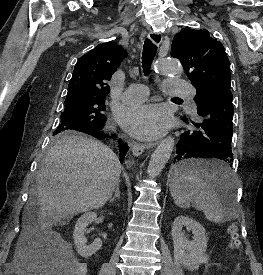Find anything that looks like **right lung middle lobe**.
<instances>
[{"label": "right lung middle lobe", "instance_id": "right-lung-middle-lobe-1", "mask_svg": "<svg viewBox=\"0 0 263 275\" xmlns=\"http://www.w3.org/2000/svg\"><path fill=\"white\" fill-rule=\"evenodd\" d=\"M104 110V96L77 95L66 98L60 124L53 133V141L60 140L65 132L101 130L105 123Z\"/></svg>", "mask_w": 263, "mask_h": 275}]
</instances>
